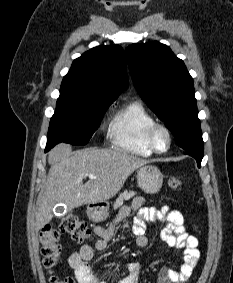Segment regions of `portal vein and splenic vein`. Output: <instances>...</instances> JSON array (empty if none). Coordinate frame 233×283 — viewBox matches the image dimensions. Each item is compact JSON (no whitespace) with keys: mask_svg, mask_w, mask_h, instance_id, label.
<instances>
[{"mask_svg":"<svg viewBox=\"0 0 233 283\" xmlns=\"http://www.w3.org/2000/svg\"><path fill=\"white\" fill-rule=\"evenodd\" d=\"M83 177H89L90 179H95L96 177L93 174H86Z\"/></svg>","mask_w":233,"mask_h":283,"instance_id":"obj_1","label":"portal vein and splenic vein"}]
</instances>
